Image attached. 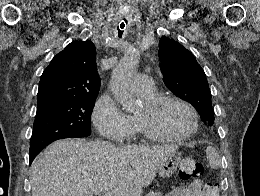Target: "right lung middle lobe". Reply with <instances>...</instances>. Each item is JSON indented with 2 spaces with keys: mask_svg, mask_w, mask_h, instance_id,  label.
<instances>
[{
  "mask_svg": "<svg viewBox=\"0 0 260 196\" xmlns=\"http://www.w3.org/2000/svg\"><path fill=\"white\" fill-rule=\"evenodd\" d=\"M96 98L97 94H83L37 106L30 152L58 139L89 136Z\"/></svg>",
  "mask_w": 260,
  "mask_h": 196,
  "instance_id": "1",
  "label": "right lung middle lobe"
}]
</instances>
